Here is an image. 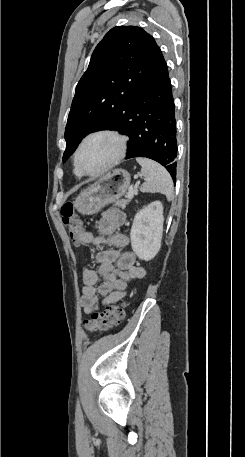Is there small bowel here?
Returning a JSON list of instances; mask_svg holds the SVG:
<instances>
[{"label":"small bowel","mask_w":245,"mask_h":457,"mask_svg":"<svg viewBox=\"0 0 245 457\" xmlns=\"http://www.w3.org/2000/svg\"><path fill=\"white\" fill-rule=\"evenodd\" d=\"M125 220L121 210L110 208L96 222L94 231L81 230L77 244L101 249L96 255L98 271L89 267L82 271L80 304L87 314L119 301L124 297L129 282L146 275V270L136 263L135 253L122 251L130 244L128 236L121 230ZM99 276L103 281L98 285Z\"/></svg>","instance_id":"obj_1"}]
</instances>
